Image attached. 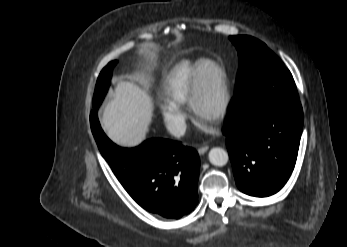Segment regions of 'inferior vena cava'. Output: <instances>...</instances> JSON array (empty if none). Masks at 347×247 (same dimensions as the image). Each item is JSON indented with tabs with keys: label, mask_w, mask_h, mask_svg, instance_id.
Listing matches in <instances>:
<instances>
[{
	"label": "inferior vena cava",
	"mask_w": 347,
	"mask_h": 247,
	"mask_svg": "<svg viewBox=\"0 0 347 247\" xmlns=\"http://www.w3.org/2000/svg\"><path fill=\"white\" fill-rule=\"evenodd\" d=\"M186 128V123L183 121H172L167 124L170 134L178 138L185 134Z\"/></svg>",
	"instance_id": "1"
}]
</instances>
